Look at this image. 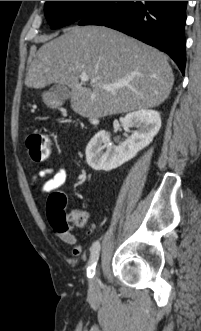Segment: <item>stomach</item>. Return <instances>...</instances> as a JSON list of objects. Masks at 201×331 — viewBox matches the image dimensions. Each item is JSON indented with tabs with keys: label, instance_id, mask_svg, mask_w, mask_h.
<instances>
[{
	"label": "stomach",
	"instance_id": "stomach-1",
	"mask_svg": "<svg viewBox=\"0 0 201 331\" xmlns=\"http://www.w3.org/2000/svg\"><path fill=\"white\" fill-rule=\"evenodd\" d=\"M46 102H47L48 104H52V102H50V101H48V100H47Z\"/></svg>",
	"mask_w": 201,
	"mask_h": 331
}]
</instances>
